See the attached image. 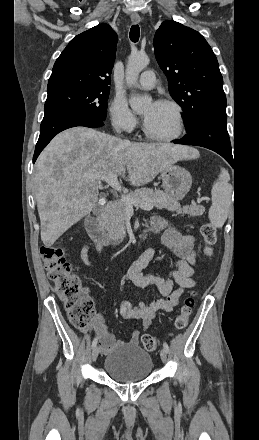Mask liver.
Masks as SVG:
<instances>
[{
	"label": "liver",
	"mask_w": 259,
	"mask_h": 440,
	"mask_svg": "<svg viewBox=\"0 0 259 440\" xmlns=\"http://www.w3.org/2000/svg\"><path fill=\"white\" fill-rule=\"evenodd\" d=\"M197 157L198 152L190 147L131 143L87 127H73L59 133L35 164L41 240L51 247L92 211L99 196L98 180L93 176L116 173L131 185L142 186L164 168Z\"/></svg>",
	"instance_id": "obj_1"
}]
</instances>
